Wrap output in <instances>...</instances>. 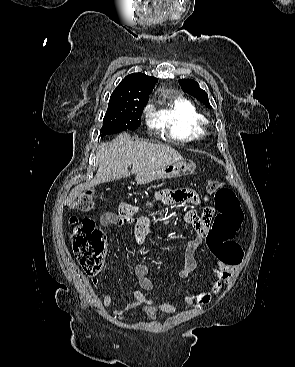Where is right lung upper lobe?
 I'll return each instance as SVG.
<instances>
[{
    "mask_svg": "<svg viewBox=\"0 0 295 367\" xmlns=\"http://www.w3.org/2000/svg\"><path fill=\"white\" fill-rule=\"evenodd\" d=\"M157 78L143 73H132L126 76L116 87L110 97V104L129 102H148Z\"/></svg>",
    "mask_w": 295,
    "mask_h": 367,
    "instance_id": "right-lung-upper-lobe-1",
    "label": "right lung upper lobe"
}]
</instances>
